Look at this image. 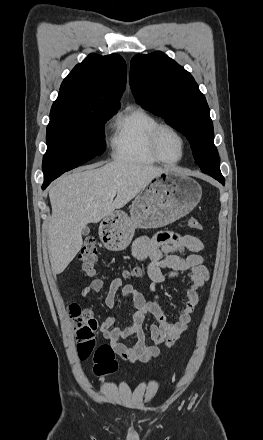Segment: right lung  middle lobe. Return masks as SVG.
I'll list each match as a JSON object with an SVG mask.
<instances>
[{
    "mask_svg": "<svg viewBox=\"0 0 263 440\" xmlns=\"http://www.w3.org/2000/svg\"><path fill=\"white\" fill-rule=\"evenodd\" d=\"M114 114L93 112L50 118L46 133L47 151L42 164L44 179H55L101 155L106 149L104 124Z\"/></svg>",
    "mask_w": 263,
    "mask_h": 440,
    "instance_id": "dd1d6c3e",
    "label": "right lung middle lobe"
}]
</instances>
